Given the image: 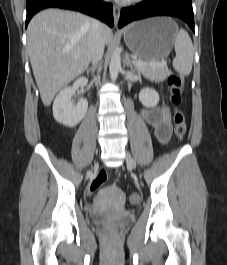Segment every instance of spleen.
Here are the masks:
<instances>
[{"instance_id": "spleen-1", "label": "spleen", "mask_w": 227, "mask_h": 265, "mask_svg": "<svg viewBox=\"0 0 227 265\" xmlns=\"http://www.w3.org/2000/svg\"><path fill=\"white\" fill-rule=\"evenodd\" d=\"M176 56L173 59L174 69L182 76L190 74L193 65L194 48L189 34L180 29L174 42Z\"/></svg>"}]
</instances>
